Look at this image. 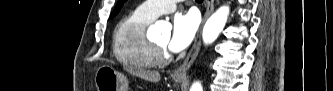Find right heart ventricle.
I'll list each match as a JSON object with an SVG mask.
<instances>
[{
	"label": "right heart ventricle",
	"mask_w": 333,
	"mask_h": 91,
	"mask_svg": "<svg viewBox=\"0 0 333 91\" xmlns=\"http://www.w3.org/2000/svg\"><path fill=\"white\" fill-rule=\"evenodd\" d=\"M152 20L135 10L118 22L113 34V53L120 64L131 70L149 69L156 64L145 35Z\"/></svg>",
	"instance_id": "1"
}]
</instances>
